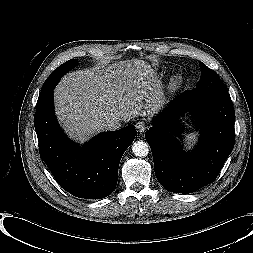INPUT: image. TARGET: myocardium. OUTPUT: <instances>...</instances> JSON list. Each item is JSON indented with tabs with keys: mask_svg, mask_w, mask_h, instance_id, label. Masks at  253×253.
<instances>
[{
	"mask_svg": "<svg viewBox=\"0 0 253 253\" xmlns=\"http://www.w3.org/2000/svg\"><path fill=\"white\" fill-rule=\"evenodd\" d=\"M181 82V78L179 76H174L171 81H170V84L171 86H176L178 84H180Z\"/></svg>",
	"mask_w": 253,
	"mask_h": 253,
	"instance_id": "1",
	"label": "myocardium"
}]
</instances>
